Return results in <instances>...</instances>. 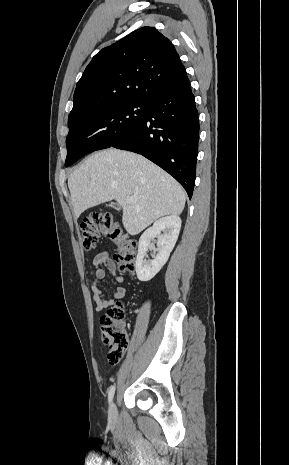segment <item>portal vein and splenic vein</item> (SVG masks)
<instances>
[{"label": "portal vein and splenic vein", "instance_id": "obj_1", "mask_svg": "<svg viewBox=\"0 0 289 465\" xmlns=\"http://www.w3.org/2000/svg\"><path fill=\"white\" fill-rule=\"evenodd\" d=\"M135 201V197H129L127 198V202L132 203Z\"/></svg>", "mask_w": 289, "mask_h": 465}]
</instances>
